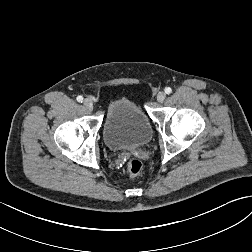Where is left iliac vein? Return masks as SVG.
<instances>
[{
	"mask_svg": "<svg viewBox=\"0 0 252 252\" xmlns=\"http://www.w3.org/2000/svg\"><path fill=\"white\" fill-rule=\"evenodd\" d=\"M166 98V94L164 92H159L157 94V101L162 103Z\"/></svg>",
	"mask_w": 252,
	"mask_h": 252,
	"instance_id": "1",
	"label": "left iliac vein"
}]
</instances>
